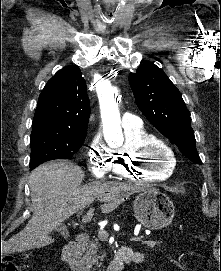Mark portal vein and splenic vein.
I'll use <instances>...</instances> for the list:
<instances>
[{
    "instance_id": "1",
    "label": "portal vein and splenic vein",
    "mask_w": 221,
    "mask_h": 271,
    "mask_svg": "<svg viewBox=\"0 0 221 271\" xmlns=\"http://www.w3.org/2000/svg\"><path fill=\"white\" fill-rule=\"evenodd\" d=\"M82 221H88L87 217H82ZM100 234H99V237L101 238V241L102 242H107L108 241V232L107 231H104L103 229L99 230L98 231ZM132 237V242H141L142 241V238L141 237H136L134 234L131 236Z\"/></svg>"
}]
</instances>
